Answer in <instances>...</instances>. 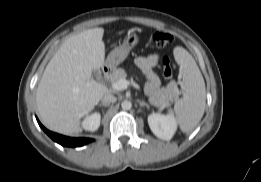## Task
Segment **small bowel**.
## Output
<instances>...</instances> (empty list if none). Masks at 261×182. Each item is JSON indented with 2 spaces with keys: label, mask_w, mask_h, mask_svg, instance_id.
Returning a JSON list of instances; mask_svg holds the SVG:
<instances>
[{
  "label": "small bowel",
  "mask_w": 261,
  "mask_h": 182,
  "mask_svg": "<svg viewBox=\"0 0 261 182\" xmlns=\"http://www.w3.org/2000/svg\"><path fill=\"white\" fill-rule=\"evenodd\" d=\"M159 60L160 56L156 53L139 56L135 59V64L147 79L145 92L148 96H154L160 87V80L154 73V68L157 66Z\"/></svg>",
  "instance_id": "small-bowel-1"
}]
</instances>
